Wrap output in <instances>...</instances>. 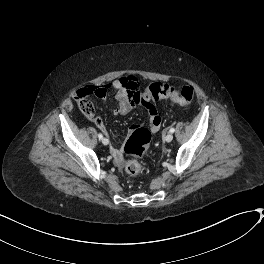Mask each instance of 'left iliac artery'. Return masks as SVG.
<instances>
[{
  "instance_id": "left-iliac-artery-1",
  "label": "left iliac artery",
  "mask_w": 264,
  "mask_h": 264,
  "mask_svg": "<svg viewBox=\"0 0 264 264\" xmlns=\"http://www.w3.org/2000/svg\"><path fill=\"white\" fill-rule=\"evenodd\" d=\"M174 131H175V129H174V128H171V129H170V132H171V133H173Z\"/></svg>"
}]
</instances>
